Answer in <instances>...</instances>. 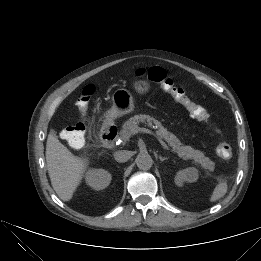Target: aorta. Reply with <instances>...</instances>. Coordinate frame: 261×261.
I'll return each mask as SVG.
<instances>
[{
    "label": "aorta",
    "instance_id": "obj_1",
    "mask_svg": "<svg viewBox=\"0 0 261 261\" xmlns=\"http://www.w3.org/2000/svg\"><path fill=\"white\" fill-rule=\"evenodd\" d=\"M135 162L140 170H149L153 165V160L148 153L137 155Z\"/></svg>",
    "mask_w": 261,
    "mask_h": 261
}]
</instances>
